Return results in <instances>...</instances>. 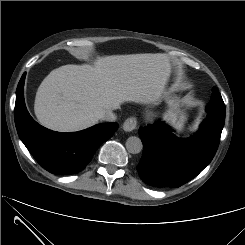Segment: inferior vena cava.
I'll return each instance as SVG.
<instances>
[{
    "instance_id": "602c4592",
    "label": "inferior vena cava",
    "mask_w": 245,
    "mask_h": 245,
    "mask_svg": "<svg viewBox=\"0 0 245 245\" xmlns=\"http://www.w3.org/2000/svg\"><path fill=\"white\" fill-rule=\"evenodd\" d=\"M101 119L108 122H114L117 119V115L112 110H108L102 115Z\"/></svg>"
}]
</instances>
